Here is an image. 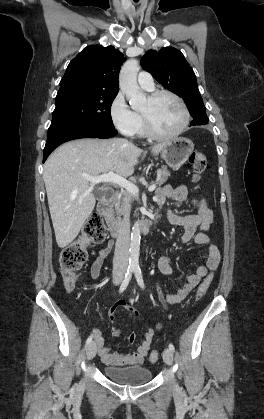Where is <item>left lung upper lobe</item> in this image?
<instances>
[{
	"label": "left lung upper lobe",
	"mask_w": 264,
	"mask_h": 419,
	"mask_svg": "<svg viewBox=\"0 0 264 419\" xmlns=\"http://www.w3.org/2000/svg\"><path fill=\"white\" fill-rule=\"evenodd\" d=\"M142 68L165 88L180 96L190 115H206L205 106L198 90L196 77L184 55L173 47L149 50L141 59Z\"/></svg>",
	"instance_id": "obj_1"
}]
</instances>
